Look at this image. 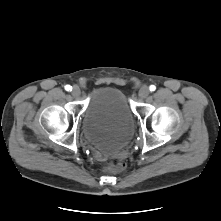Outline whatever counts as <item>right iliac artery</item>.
Here are the masks:
<instances>
[{"mask_svg": "<svg viewBox=\"0 0 221 221\" xmlns=\"http://www.w3.org/2000/svg\"><path fill=\"white\" fill-rule=\"evenodd\" d=\"M65 90H66V91H71V90H72V87H71L70 85H66V86H65Z\"/></svg>", "mask_w": 221, "mask_h": 221, "instance_id": "obj_1", "label": "right iliac artery"}]
</instances>
